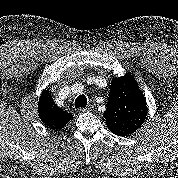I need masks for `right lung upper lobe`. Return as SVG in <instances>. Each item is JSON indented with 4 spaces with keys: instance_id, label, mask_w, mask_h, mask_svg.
Listing matches in <instances>:
<instances>
[{
    "instance_id": "cb5924a9",
    "label": "right lung upper lobe",
    "mask_w": 178,
    "mask_h": 178,
    "mask_svg": "<svg viewBox=\"0 0 178 178\" xmlns=\"http://www.w3.org/2000/svg\"><path fill=\"white\" fill-rule=\"evenodd\" d=\"M38 114L41 121L49 128L60 130L73 117L60 109L52 100L48 90H44L38 102Z\"/></svg>"
}]
</instances>
